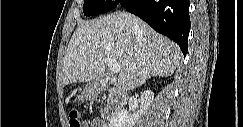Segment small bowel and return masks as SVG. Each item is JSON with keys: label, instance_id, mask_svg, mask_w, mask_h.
<instances>
[{"label": "small bowel", "instance_id": "obj_1", "mask_svg": "<svg viewBox=\"0 0 243 127\" xmlns=\"http://www.w3.org/2000/svg\"><path fill=\"white\" fill-rule=\"evenodd\" d=\"M105 127L104 123L101 120H93L90 125L84 123V127Z\"/></svg>", "mask_w": 243, "mask_h": 127}]
</instances>
